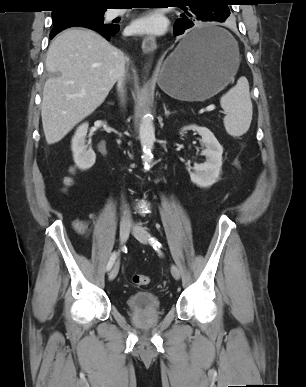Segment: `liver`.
I'll use <instances>...</instances> for the list:
<instances>
[{
	"label": "liver",
	"instance_id": "1",
	"mask_svg": "<svg viewBox=\"0 0 306 387\" xmlns=\"http://www.w3.org/2000/svg\"><path fill=\"white\" fill-rule=\"evenodd\" d=\"M125 65L124 54L90 29L63 31L50 44L41 104L46 142L63 139L106 99Z\"/></svg>",
	"mask_w": 306,
	"mask_h": 387
}]
</instances>
